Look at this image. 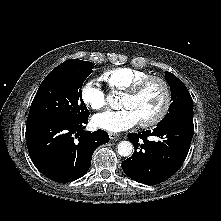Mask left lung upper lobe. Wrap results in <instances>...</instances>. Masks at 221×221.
I'll return each instance as SVG.
<instances>
[{
    "instance_id": "obj_1",
    "label": "left lung upper lobe",
    "mask_w": 221,
    "mask_h": 221,
    "mask_svg": "<svg viewBox=\"0 0 221 221\" xmlns=\"http://www.w3.org/2000/svg\"><path fill=\"white\" fill-rule=\"evenodd\" d=\"M165 78L171 88L172 103L169 107V113L160 124L176 120L193 122V100L186 86L168 71L165 72Z\"/></svg>"
}]
</instances>
